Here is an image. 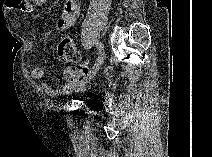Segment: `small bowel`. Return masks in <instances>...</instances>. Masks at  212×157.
<instances>
[{
	"label": "small bowel",
	"mask_w": 212,
	"mask_h": 157,
	"mask_svg": "<svg viewBox=\"0 0 212 157\" xmlns=\"http://www.w3.org/2000/svg\"><path fill=\"white\" fill-rule=\"evenodd\" d=\"M6 6L10 10H24L27 11L31 8L32 3L27 0H6ZM80 12V4L76 0H67L64 3L63 10L58 19L57 26L61 30H67L71 28ZM34 43L32 41L27 42V49L32 50ZM45 75V69L41 66L32 68L29 72V76L34 80H41ZM63 81L55 84L54 87H48L44 85L46 91L53 95H64L71 92L73 89L83 84V79L78 78L75 75V68L67 67L62 72Z\"/></svg>",
	"instance_id": "small-bowel-1"
}]
</instances>
